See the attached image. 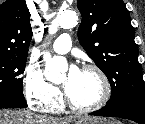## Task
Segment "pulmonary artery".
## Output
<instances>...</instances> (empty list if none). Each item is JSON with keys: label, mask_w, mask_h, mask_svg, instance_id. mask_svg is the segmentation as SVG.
<instances>
[{"label": "pulmonary artery", "mask_w": 145, "mask_h": 124, "mask_svg": "<svg viewBox=\"0 0 145 124\" xmlns=\"http://www.w3.org/2000/svg\"><path fill=\"white\" fill-rule=\"evenodd\" d=\"M72 40L67 34H63L53 43L52 50L57 54H65L71 49Z\"/></svg>", "instance_id": "pulmonary-artery-1"}]
</instances>
